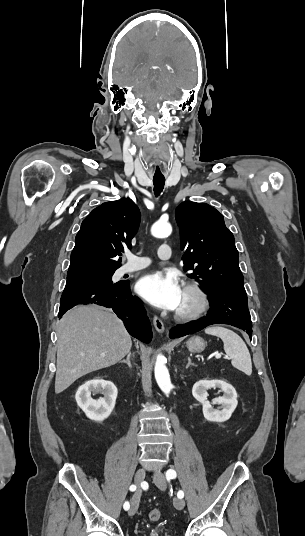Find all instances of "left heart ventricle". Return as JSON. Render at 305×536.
Here are the masks:
<instances>
[{"label": "left heart ventricle", "mask_w": 305, "mask_h": 536, "mask_svg": "<svg viewBox=\"0 0 305 536\" xmlns=\"http://www.w3.org/2000/svg\"><path fill=\"white\" fill-rule=\"evenodd\" d=\"M196 304H197V299L195 295L182 290V299H181V303L178 309H181V310L192 309L196 306Z\"/></svg>", "instance_id": "left-heart-ventricle-1"}]
</instances>
